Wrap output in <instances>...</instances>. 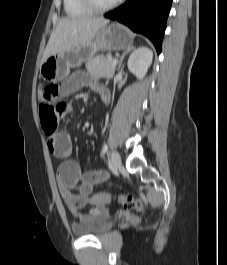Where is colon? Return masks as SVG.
Here are the masks:
<instances>
[{
  "mask_svg": "<svg viewBox=\"0 0 227 265\" xmlns=\"http://www.w3.org/2000/svg\"><path fill=\"white\" fill-rule=\"evenodd\" d=\"M59 96V86L55 84L40 85L38 87V97L40 101V117L44 131L47 135L52 134L58 126V120L63 116L64 112H58L56 104ZM116 199L122 207L127 211L141 212L143 203L140 199L132 195H119L112 197L110 195L96 194L91 197V204L100 205L104 201Z\"/></svg>",
  "mask_w": 227,
  "mask_h": 265,
  "instance_id": "1",
  "label": "colon"
}]
</instances>
